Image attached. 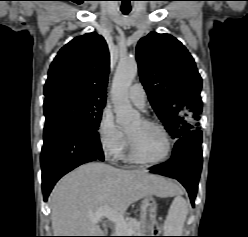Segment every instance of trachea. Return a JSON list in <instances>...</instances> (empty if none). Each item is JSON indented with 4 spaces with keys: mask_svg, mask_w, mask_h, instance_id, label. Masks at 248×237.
I'll return each instance as SVG.
<instances>
[{
    "mask_svg": "<svg viewBox=\"0 0 248 237\" xmlns=\"http://www.w3.org/2000/svg\"><path fill=\"white\" fill-rule=\"evenodd\" d=\"M122 12L123 14L127 15L130 12V10H122Z\"/></svg>",
    "mask_w": 248,
    "mask_h": 237,
    "instance_id": "obj_1",
    "label": "trachea"
}]
</instances>
